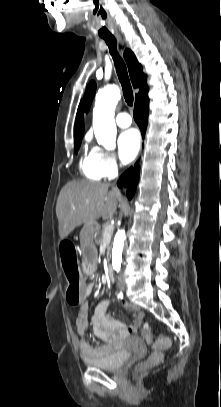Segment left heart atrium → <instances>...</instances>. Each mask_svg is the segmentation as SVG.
<instances>
[{"label": "left heart atrium", "instance_id": "obj_1", "mask_svg": "<svg viewBox=\"0 0 221 407\" xmlns=\"http://www.w3.org/2000/svg\"><path fill=\"white\" fill-rule=\"evenodd\" d=\"M140 148V136L135 129L123 131L118 138L119 157L122 162H131L138 154Z\"/></svg>", "mask_w": 221, "mask_h": 407}]
</instances>
